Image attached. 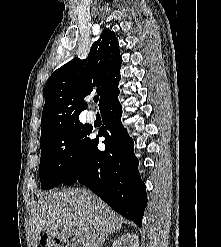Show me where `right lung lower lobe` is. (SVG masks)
<instances>
[{
	"instance_id": "right-lung-lower-lobe-1",
	"label": "right lung lower lobe",
	"mask_w": 221,
	"mask_h": 247,
	"mask_svg": "<svg viewBox=\"0 0 221 247\" xmlns=\"http://www.w3.org/2000/svg\"><path fill=\"white\" fill-rule=\"evenodd\" d=\"M100 111L103 127L99 136L105 137V151L98 150V138L90 139L85 155L62 184L78 181L141 227L147 205L146 186L138 171L133 140L121 123L122 107L118 97Z\"/></svg>"
}]
</instances>
